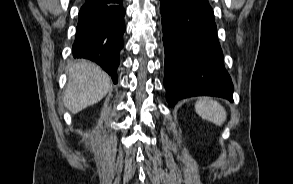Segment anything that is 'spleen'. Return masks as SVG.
<instances>
[{
	"label": "spleen",
	"instance_id": "obj_1",
	"mask_svg": "<svg viewBox=\"0 0 293 184\" xmlns=\"http://www.w3.org/2000/svg\"><path fill=\"white\" fill-rule=\"evenodd\" d=\"M195 110L200 117L216 125H222L227 118L224 107L212 99H199V101L195 103Z\"/></svg>",
	"mask_w": 293,
	"mask_h": 184
}]
</instances>
